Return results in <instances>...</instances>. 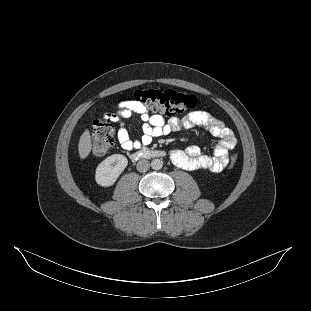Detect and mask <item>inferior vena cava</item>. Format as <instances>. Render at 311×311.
Masks as SVG:
<instances>
[{
	"label": "inferior vena cava",
	"mask_w": 311,
	"mask_h": 311,
	"mask_svg": "<svg viewBox=\"0 0 311 311\" xmlns=\"http://www.w3.org/2000/svg\"><path fill=\"white\" fill-rule=\"evenodd\" d=\"M136 167H137V170L139 172H146L150 168V162L146 159H142V160L138 161Z\"/></svg>",
	"instance_id": "inferior-vena-cava-1"
}]
</instances>
